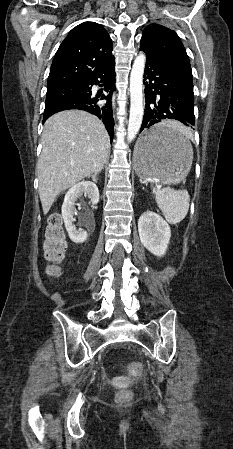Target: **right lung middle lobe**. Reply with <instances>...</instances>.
I'll return each mask as SVG.
<instances>
[{"mask_svg":"<svg viewBox=\"0 0 233 449\" xmlns=\"http://www.w3.org/2000/svg\"><path fill=\"white\" fill-rule=\"evenodd\" d=\"M84 94L82 85L64 86L47 90L45 108L52 107L58 103L78 98Z\"/></svg>","mask_w":233,"mask_h":449,"instance_id":"1","label":"right lung middle lobe"}]
</instances>
